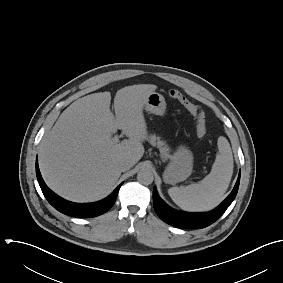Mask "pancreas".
<instances>
[{
  "mask_svg": "<svg viewBox=\"0 0 283 283\" xmlns=\"http://www.w3.org/2000/svg\"><path fill=\"white\" fill-rule=\"evenodd\" d=\"M149 142L153 146H157L159 148L160 153L164 158L169 157V147L165 144V142L161 141L159 137H156L155 135H151L149 137Z\"/></svg>",
  "mask_w": 283,
  "mask_h": 283,
  "instance_id": "cf45deb5",
  "label": "pancreas"
}]
</instances>
